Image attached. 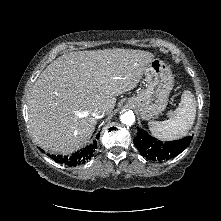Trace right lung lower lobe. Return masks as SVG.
I'll list each match as a JSON object with an SVG mask.
<instances>
[{"mask_svg": "<svg viewBox=\"0 0 221 221\" xmlns=\"http://www.w3.org/2000/svg\"><path fill=\"white\" fill-rule=\"evenodd\" d=\"M98 137L99 134L97 136V139ZM96 148H97V141L94 140L92 144L85 147L83 150L76 152L75 154H72L71 156L52 155V159H54L57 163L65 164L70 167L77 166L81 163H84L89 158H91ZM41 151L44 152L43 150Z\"/></svg>", "mask_w": 221, "mask_h": 221, "instance_id": "right-lung-lower-lobe-1", "label": "right lung lower lobe"}]
</instances>
